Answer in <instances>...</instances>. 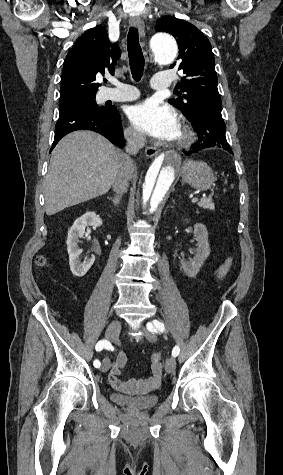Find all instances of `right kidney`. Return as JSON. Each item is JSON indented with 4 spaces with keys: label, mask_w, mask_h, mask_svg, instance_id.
<instances>
[{
    "label": "right kidney",
    "mask_w": 283,
    "mask_h": 475,
    "mask_svg": "<svg viewBox=\"0 0 283 475\" xmlns=\"http://www.w3.org/2000/svg\"><path fill=\"white\" fill-rule=\"evenodd\" d=\"M86 226H93V228H98V226H102L101 218L96 216L95 212H86L83 214L81 218H77L75 220L72 228H70L67 236V249L69 253V265L72 273L74 275H78V277H82L87 273L88 269H90L91 265H93L95 261L94 255L89 257V259H83L81 261L79 255V247H78V239L82 238L85 234Z\"/></svg>",
    "instance_id": "ca27d5eb"
}]
</instances>
